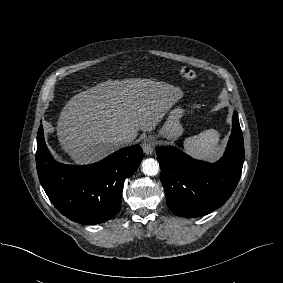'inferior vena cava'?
I'll use <instances>...</instances> for the list:
<instances>
[{
    "instance_id": "inferior-vena-cava-1",
    "label": "inferior vena cava",
    "mask_w": 283,
    "mask_h": 283,
    "mask_svg": "<svg viewBox=\"0 0 283 283\" xmlns=\"http://www.w3.org/2000/svg\"><path fill=\"white\" fill-rule=\"evenodd\" d=\"M114 142L118 145V146H123L125 144H129L131 143V140L129 137L124 136V135H118L115 139Z\"/></svg>"
}]
</instances>
